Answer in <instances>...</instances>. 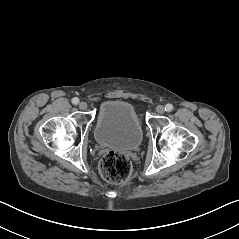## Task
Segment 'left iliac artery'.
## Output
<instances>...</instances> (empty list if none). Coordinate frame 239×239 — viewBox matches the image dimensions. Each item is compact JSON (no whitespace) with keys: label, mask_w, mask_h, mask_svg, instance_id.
Wrapping results in <instances>:
<instances>
[{"label":"left iliac artery","mask_w":239,"mask_h":239,"mask_svg":"<svg viewBox=\"0 0 239 239\" xmlns=\"http://www.w3.org/2000/svg\"><path fill=\"white\" fill-rule=\"evenodd\" d=\"M173 110V105L172 104H166L165 105V111L167 112H171Z\"/></svg>","instance_id":"44dca946"}]
</instances>
